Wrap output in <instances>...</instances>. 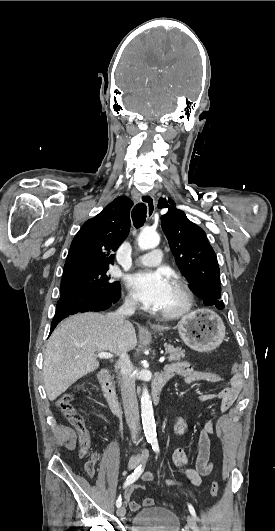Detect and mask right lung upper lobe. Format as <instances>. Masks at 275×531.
Segmentation results:
<instances>
[{
	"instance_id": "cb5924a9",
	"label": "right lung upper lobe",
	"mask_w": 275,
	"mask_h": 531,
	"mask_svg": "<svg viewBox=\"0 0 275 531\" xmlns=\"http://www.w3.org/2000/svg\"><path fill=\"white\" fill-rule=\"evenodd\" d=\"M132 206L128 197L120 196L86 221L71 243L64 271L113 264L114 255L111 253L118 249L130 230Z\"/></svg>"
}]
</instances>
